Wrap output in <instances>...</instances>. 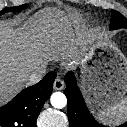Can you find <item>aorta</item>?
<instances>
[{"instance_id":"aorta-1","label":"aorta","mask_w":127,"mask_h":127,"mask_svg":"<svg viewBox=\"0 0 127 127\" xmlns=\"http://www.w3.org/2000/svg\"><path fill=\"white\" fill-rule=\"evenodd\" d=\"M51 105L54 108L62 109L67 104L66 96L61 92H55L50 97Z\"/></svg>"}]
</instances>
